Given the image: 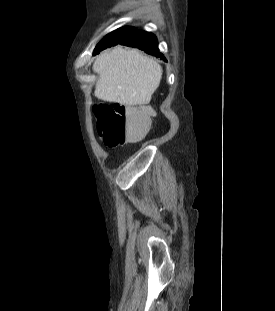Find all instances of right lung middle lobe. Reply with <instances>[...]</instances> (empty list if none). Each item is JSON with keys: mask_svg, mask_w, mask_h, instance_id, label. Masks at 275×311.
<instances>
[{"mask_svg": "<svg viewBox=\"0 0 275 311\" xmlns=\"http://www.w3.org/2000/svg\"><path fill=\"white\" fill-rule=\"evenodd\" d=\"M134 32L135 29L133 27H122L107 34L96 46L94 55L98 54L100 51L106 48L120 44L122 41L130 37Z\"/></svg>", "mask_w": 275, "mask_h": 311, "instance_id": "dd1d6c3e", "label": "right lung middle lobe"}]
</instances>
